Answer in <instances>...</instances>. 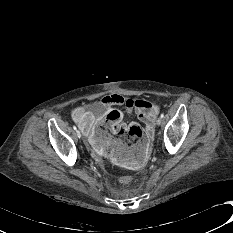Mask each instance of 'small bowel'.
Masks as SVG:
<instances>
[{"instance_id":"c3829d8e","label":"small bowel","mask_w":233,"mask_h":233,"mask_svg":"<svg viewBox=\"0 0 233 233\" xmlns=\"http://www.w3.org/2000/svg\"><path fill=\"white\" fill-rule=\"evenodd\" d=\"M115 106H122L128 111H134L138 119L145 124L148 132L159 112V106L147 100L109 94L96 102L91 111L78 115L76 122L88 137L94 151L99 155L106 154L109 163L121 165L124 168L139 169L149 152V139L145 136H138L133 142L126 143L100 130L101 127L108 125L112 133L118 134L120 127L127 126L123 122L122 113L115 109ZM101 108L107 109L105 115L99 113Z\"/></svg>"}]
</instances>
